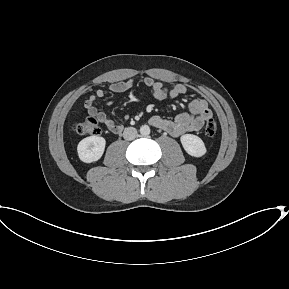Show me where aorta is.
I'll return each mask as SVG.
<instances>
[{"mask_svg":"<svg viewBox=\"0 0 289 289\" xmlns=\"http://www.w3.org/2000/svg\"><path fill=\"white\" fill-rule=\"evenodd\" d=\"M140 134L142 136H147L150 134V128L148 125H143L140 127Z\"/></svg>","mask_w":289,"mask_h":289,"instance_id":"1","label":"aorta"}]
</instances>
